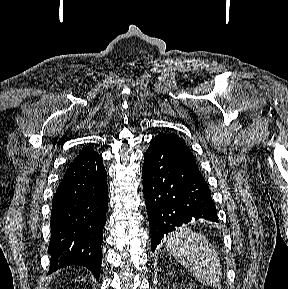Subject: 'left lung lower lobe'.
Segmentation results:
<instances>
[{"instance_id":"obj_1","label":"left lung lower lobe","mask_w":288,"mask_h":289,"mask_svg":"<svg viewBox=\"0 0 288 289\" xmlns=\"http://www.w3.org/2000/svg\"><path fill=\"white\" fill-rule=\"evenodd\" d=\"M142 173L152 252L165 235L192 218L218 222L211 191L198 167L164 143L151 140Z\"/></svg>"}]
</instances>
